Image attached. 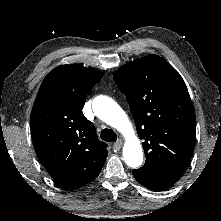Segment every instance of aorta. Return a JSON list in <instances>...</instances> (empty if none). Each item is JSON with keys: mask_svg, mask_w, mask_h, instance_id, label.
I'll use <instances>...</instances> for the list:
<instances>
[{"mask_svg": "<svg viewBox=\"0 0 221 221\" xmlns=\"http://www.w3.org/2000/svg\"><path fill=\"white\" fill-rule=\"evenodd\" d=\"M93 111L99 119L118 130L126 138L123 147L125 163L138 168L143 162V152L139 139L135 136L131 122L122 108L107 96H97L93 101Z\"/></svg>", "mask_w": 221, "mask_h": 221, "instance_id": "762f6f07", "label": "aorta"}]
</instances>
